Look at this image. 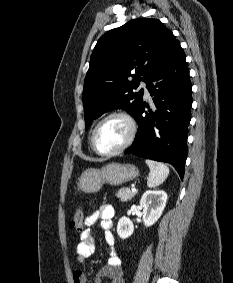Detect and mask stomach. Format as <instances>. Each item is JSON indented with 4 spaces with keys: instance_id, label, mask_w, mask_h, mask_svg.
<instances>
[{
    "instance_id": "0dacf381",
    "label": "stomach",
    "mask_w": 233,
    "mask_h": 283,
    "mask_svg": "<svg viewBox=\"0 0 233 283\" xmlns=\"http://www.w3.org/2000/svg\"><path fill=\"white\" fill-rule=\"evenodd\" d=\"M138 175V168L131 164L110 163L101 169L89 168L81 174L78 190L96 193L105 183L117 186L134 180Z\"/></svg>"
}]
</instances>
